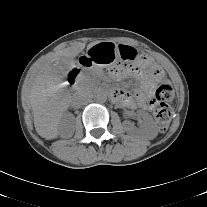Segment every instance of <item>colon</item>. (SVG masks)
Returning <instances> with one entry per match:
<instances>
[{
	"label": "colon",
	"mask_w": 207,
	"mask_h": 207,
	"mask_svg": "<svg viewBox=\"0 0 207 207\" xmlns=\"http://www.w3.org/2000/svg\"><path fill=\"white\" fill-rule=\"evenodd\" d=\"M149 71L152 75L157 76L161 73L162 68L159 64L154 63L150 66ZM174 96L173 84L168 79H163L156 89L155 99L159 104L154 112L157 126L161 132H165L170 125L172 110L166 102L171 101Z\"/></svg>",
	"instance_id": "obj_1"
}]
</instances>
